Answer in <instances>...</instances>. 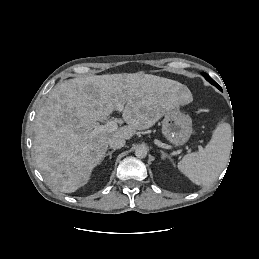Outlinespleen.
<instances>
[{
  "label": "spleen",
  "mask_w": 259,
  "mask_h": 259,
  "mask_svg": "<svg viewBox=\"0 0 259 259\" xmlns=\"http://www.w3.org/2000/svg\"><path fill=\"white\" fill-rule=\"evenodd\" d=\"M231 147V127L222 121L205 148L185 155L178 163V169L196 185L211 184L227 166Z\"/></svg>",
  "instance_id": "spleen-1"
}]
</instances>
